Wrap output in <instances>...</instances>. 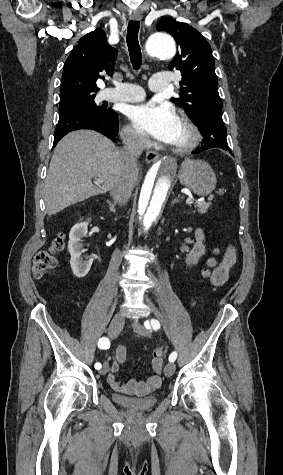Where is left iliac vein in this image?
I'll return each instance as SVG.
<instances>
[{"instance_id": "left-iliac-vein-1", "label": "left iliac vein", "mask_w": 283, "mask_h": 475, "mask_svg": "<svg viewBox=\"0 0 283 475\" xmlns=\"http://www.w3.org/2000/svg\"><path fill=\"white\" fill-rule=\"evenodd\" d=\"M132 328L135 332L141 334L144 337H150V332L142 324L137 321L132 322ZM176 366L173 362L168 363L164 368V374L167 377H170L175 372Z\"/></svg>"}]
</instances>
